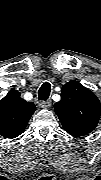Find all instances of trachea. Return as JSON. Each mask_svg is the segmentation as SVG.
<instances>
[{"label": "trachea", "instance_id": "obj_1", "mask_svg": "<svg viewBox=\"0 0 101 180\" xmlns=\"http://www.w3.org/2000/svg\"><path fill=\"white\" fill-rule=\"evenodd\" d=\"M51 92V85L48 82H45L38 91V98L41 101H46L49 98Z\"/></svg>", "mask_w": 101, "mask_h": 180}]
</instances>
